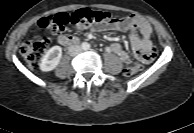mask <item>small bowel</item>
<instances>
[{
  "mask_svg": "<svg viewBox=\"0 0 194 133\" xmlns=\"http://www.w3.org/2000/svg\"><path fill=\"white\" fill-rule=\"evenodd\" d=\"M93 30L129 32L130 44L138 60H140V54H155V48L151 40L152 27L150 23L141 16L132 14L107 25L94 26ZM137 32L141 34V37ZM110 49L123 62L128 63L130 61L128 53L120 44L114 43L111 45Z\"/></svg>",
  "mask_w": 194,
  "mask_h": 133,
  "instance_id": "obj_1",
  "label": "small bowel"
}]
</instances>
